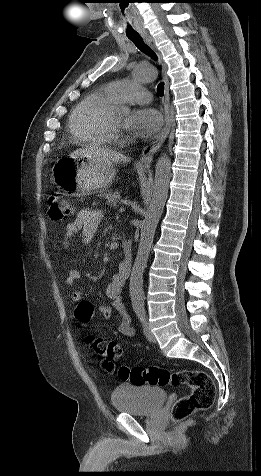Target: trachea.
Masks as SVG:
<instances>
[{"instance_id": "trachea-1", "label": "trachea", "mask_w": 261, "mask_h": 476, "mask_svg": "<svg viewBox=\"0 0 261 476\" xmlns=\"http://www.w3.org/2000/svg\"><path fill=\"white\" fill-rule=\"evenodd\" d=\"M129 39L136 45V47L148 54L149 56H151L153 59H157L156 57V54L148 47L144 44L142 38L140 35H133V36H129ZM157 93L159 96H163L164 95V83H160L158 86H157Z\"/></svg>"}]
</instances>
